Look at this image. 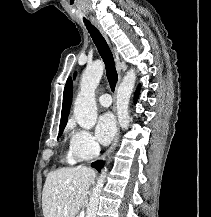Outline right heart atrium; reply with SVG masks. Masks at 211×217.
<instances>
[{
    "instance_id": "obj_1",
    "label": "right heart atrium",
    "mask_w": 211,
    "mask_h": 217,
    "mask_svg": "<svg viewBox=\"0 0 211 217\" xmlns=\"http://www.w3.org/2000/svg\"><path fill=\"white\" fill-rule=\"evenodd\" d=\"M70 151L80 160L95 158L100 146L91 132L70 126Z\"/></svg>"
}]
</instances>
